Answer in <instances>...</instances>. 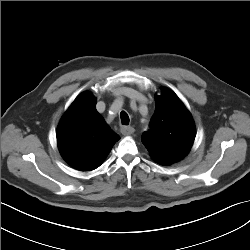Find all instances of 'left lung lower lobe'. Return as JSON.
<instances>
[{
  "label": "left lung lower lobe",
  "mask_w": 250,
  "mask_h": 250,
  "mask_svg": "<svg viewBox=\"0 0 250 250\" xmlns=\"http://www.w3.org/2000/svg\"><path fill=\"white\" fill-rule=\"evenodd\" d=\"M159 164H162V165H169L171 163H166V162H158Z\"/></svg>",
  "instance_id": "1"
}]
</instances>
